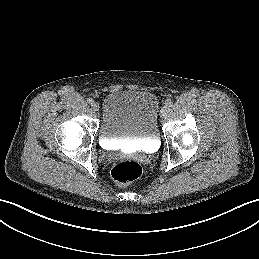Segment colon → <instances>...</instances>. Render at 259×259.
Returning a JSON list of instances; mask_svg holds the SVG:
<instances>
[{"label":"colon","mask_w":259,"mask_h":259,"mask_svg":"<svg viewBox=\"0 0 259 259\" xmlns=\"http://www.w3.org/2000/svg\"><path fill=\"white\" fill-rule=\"evenodd\" d=\"M142 174L141 165L133 159H125L117 162L112 170L113 180L119 186H128L137 180Z\"/></svg>","instance_id":"obj_1"}]
</instances>
